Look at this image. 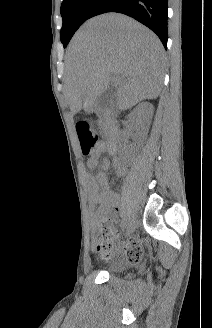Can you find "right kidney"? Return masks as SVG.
I'll return each instance as SVG.
<instances>
[{
  "mask_svg": "<svg viewBox=\"0 0 212 328\" xmlns=\"http://www.w3.org/2000/svg\"><path fill=\"white\" fill-rule=\"evenodd\" d=\"M153 112L154 107L151 103L142 102L128 115V120L138 132L140 139H144L148 133Z\"/></svg>",
  "mask_w": 212,
  "mask_h": 328,
  "instance_id": "1",
  "label": "right kidney"
}]
</instances>
